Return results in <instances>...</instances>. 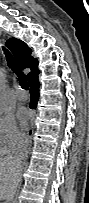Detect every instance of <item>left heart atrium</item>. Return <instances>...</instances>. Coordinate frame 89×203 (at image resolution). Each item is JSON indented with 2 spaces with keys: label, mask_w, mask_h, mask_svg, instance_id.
Segmentation results:
<instances>
[{
  "label": "left heart atrium",
  "mask_w": 89,
  "mask_h": 203,
  "mask_svg": "<svg viewBox=\"0 0 89 203\" xmlns=\"http://www.w3.org/2000/svg\"><path fill=\"white\" fill-rule=\"evenodd\" d=\"M17 116L22 126H26L31 119V113L25 108L19 109Z\"/></svg>",
  "instance_id": "left-heart-atrium-1"
}]
</instances>
